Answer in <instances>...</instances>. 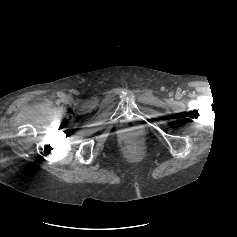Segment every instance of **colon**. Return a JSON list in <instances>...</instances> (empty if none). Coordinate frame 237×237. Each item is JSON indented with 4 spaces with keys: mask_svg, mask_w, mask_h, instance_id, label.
<instances>
[{
    "mask_svg": "<svg viewBox=\"0 0 237 237\" xmlns=\"http://www.w3.org/2000/svg\"><path fill=\"white\" fill-rule=\"evenodd\" d=\"M125 148L130 153H138L142 148V144L138 138L130 137L125 141Z\"/></svg>",
    "mask_w": 237,
    "mask_h": 237,
    "instance_id": "5ec220e1",
    "label": "colon"
}]
</instances>
